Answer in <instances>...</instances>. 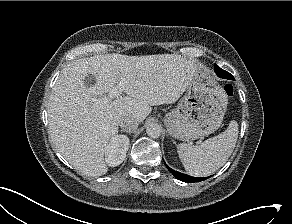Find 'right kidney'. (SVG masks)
<instances>
[{
    "instance_id": "ca27d5eb",
    "label": "right kidney",
    "mask_w": 292,
    "mask_h": 224,
    "mask_svg": "<svg viewBox=\"0 0 292 224\" xmlns=\"http://www.w3.org/2000/svg\"><path fill=\"white\" fill-rule=\"evenodd\" d=\"M129 138L124 135H117L114 137L107 147L105 152V163L110 167L120 165L129 148Z\"/></svg>"
}]
</instances>
